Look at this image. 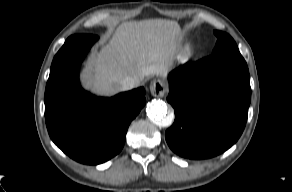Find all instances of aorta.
Masks as SVG:
<instances>
[{"label":"aorta","mask_w":292,"mask_h":192,"mask_svg":"<svg viewBox=\"0 0 292 192\" xmlns=\"http://www.w3.org/2000/svg\"><path fill=\"white\" fill-rule=\"evenodd\" d=\"M146 112L148 117L160 127H167L172 124L173 117L168 114V108L162 100H152L147 104Z\"/></svg>","instance_id":"aorta-1"}]
</instances>
